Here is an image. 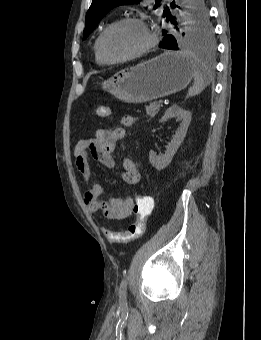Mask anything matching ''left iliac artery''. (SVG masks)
Here are the masks:
<instances>
[{
    "instance_id": "left-iliac-artery-1",
    "label": "left iliac artery",
    "mask_w": 261,
    "mask_h": 340,
    "mask_svg": "<svg viewBox=\"0 0 261 340\" xmlns=\"http://www.w3.org/2000/svg\"><path fill=\"white\" fill-rule=\"evenodd\" d=\"M128 279L125 277L120 284L119 288V302L120 305L124 306L127 304L126 291H127Z\"/></svg>"
}]
</instances>
